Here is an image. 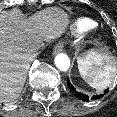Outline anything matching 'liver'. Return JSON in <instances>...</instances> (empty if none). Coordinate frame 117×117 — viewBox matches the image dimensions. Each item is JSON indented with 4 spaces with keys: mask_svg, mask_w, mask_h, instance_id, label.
I'll return each instance as SVG.
<instances>
[{
    "mask_svg": "<svg viewBox=\"0 0 117 117\" xmlns=\"http://www.w3.org/2000/svg\"><path fill=\"white\" fill-rule=\"evenodd\" d=\"M69 22L68 14L57 7L30 18L17 9L0 11V103L19 96L37 48L60 37Z\"/></svg>",
    "mask_w": 117,
    "mask_h": 117,
    "instance_id": "liver-1",
    "label": "liver"
}]
</instances>
